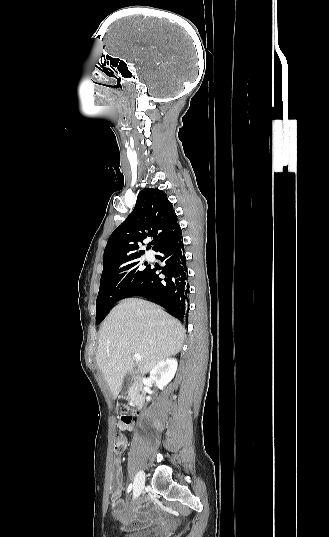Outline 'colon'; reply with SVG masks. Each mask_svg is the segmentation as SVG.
<instances>
[{"instance_id": "obj_1", "label": "colon", "mask_w": 329, "mask_h": 537, "mask_svg": "<svg viewBox=\"0 0 329 537\" xmlns=\"http://www.w3.org/2000/svg\"><path fill=\"white\" fill-rule=\"evenodd\" d=\"M120 419L124 424H129L132 421L130 409L128 406L121 408ZM128 446V436L125 433L118 432L114 437L113 450L116 454L122 453Z\"/></svg>"}]
</instances>
